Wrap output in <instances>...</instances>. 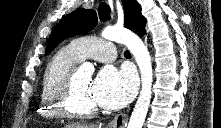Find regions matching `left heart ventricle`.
<instances>
[{
  "label": "left heart ventricle",
  "mask_w": 221,
  "mask_h": 128,
  "mask_svg": "<svg viewBox=\"0 0 221 128\" xmlns=\"http://www.w3.org/2000/svg\"><path fill=\"white\" fill-rule=\"evenodd\" d=\"M90 81V75L77 72L75 79V92L73 96V103L75 106L83 109L96 106L89 90Z\"/></svg>",
  "instance_id": "b2bd125f"
}]
</instances>
